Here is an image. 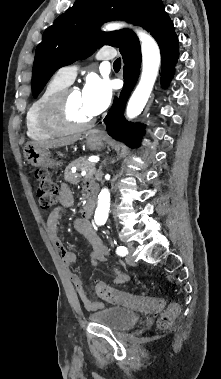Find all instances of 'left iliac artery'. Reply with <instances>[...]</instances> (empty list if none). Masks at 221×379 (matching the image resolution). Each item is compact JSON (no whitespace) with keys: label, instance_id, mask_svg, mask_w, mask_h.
<instances>
[{"label":"left iliac artery","instance_id":"44dca946","mask_svg":"<svg viewBox=\"0 0 221 379\" xmlns=\"http://www.w3.org/2000/svg\"><path fill=\"white\" fill-rule=\"evenodd\" d=\"M116 253L120 256H126L128 254V250L124 246H119L116 249Z\"/></svg>","mask_w":221,"mask_h":379}]
</instances>
